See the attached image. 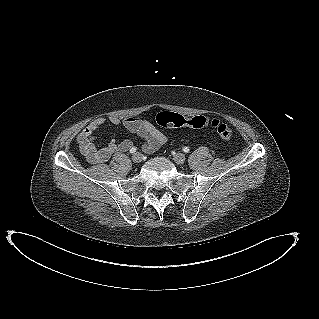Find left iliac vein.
<instances>
[{
	"label": "left iliac vein",
	"mask_w": 319,
	"mask_h": 319,
	"mask_svg": "<svg viewBox=\"0 0 319 319\" xmlns=\"http://www.w3.org/2000/svg\"><path fill=\"white\" fill-rule=\"evenodd\" d=\"M173 159L177 164H183L186 160V157L183 153H177L174 155Z\"/></svg>",
	"instance_id": "left-iliac-vein-1"
}]
</instances>
